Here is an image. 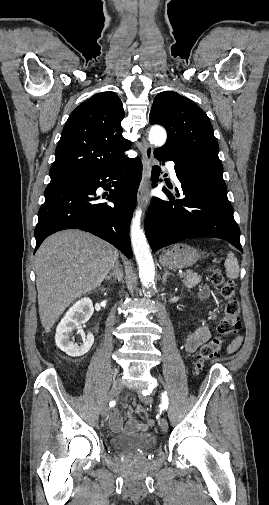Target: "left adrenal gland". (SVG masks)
<instances>
[{"label": "left adrenal gland", "instance_id": "left-adrenal-gland-1", "mask_svg": "<svg viewBox=\"0 0 269 505\" xmlns=\"http://www.w3.org/2000/svg\"><path fill=\"white\" fill-rule=\"evenodd\" d=\"M171 275H172V273H170L167 269H164V274H163V277H162V282H163V284H165V283H166L167 278H168L169 276H171Z\"/></svg>", "mask_w": 269, "mask_h": 505}]
</instances>
